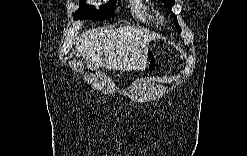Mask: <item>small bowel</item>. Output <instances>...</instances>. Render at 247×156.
Instances as JSON below:
<instances>
[{
  "label": "small bowel",
  "mask_w": 247,
  "mask_h": 156,
  "mask_svg": "<svg viewBox=\"0 0 247 156\" xmlns=\"http://www.w3.org/2000/svg\"><path fill=\"white\" fill-rule=\"evenodd\" d=\"M149 70L152 71L153 70V65L150 64L149 66Z\"/></svg>",
  "instance_id": "small-bowel-1"
}]
</instances>
